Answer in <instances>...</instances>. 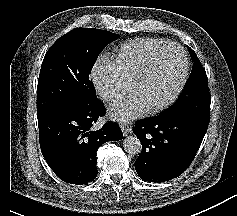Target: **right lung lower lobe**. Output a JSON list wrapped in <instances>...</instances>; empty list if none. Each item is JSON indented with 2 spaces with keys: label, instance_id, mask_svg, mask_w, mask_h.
Here are the masks:
<instances>
[{
  "label": "right lung lower lobe",
  "instance_id": "98d812e1",
  "mask_svg": "<svg viewBox=\"0 0 237 216\" xmlns=\"http://www.w3.org/2000/svg\"><path fill=\"white\" fill-rule=\"evenodd\" d=\"M104 114V104L96 98L72 103L39 117L42 154L62 181L76 185L93 181L98 173L97 149L107 141L123 138L121 129L113 122L99 130L91 128Z\"/></svg>",
  "mask_w": 237,
  "mask_h": 216
}]
</instances>
